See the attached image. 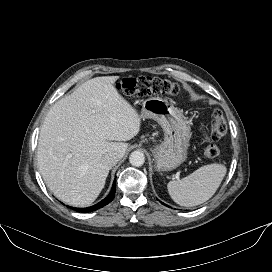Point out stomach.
I'll list each match as a JSON object with an SVG mask.
<instances>
[{
    "label": "stomach",
    "mask_w": 272,
    "mask_h": 272,
    "mask_svg": "<svg viewBox=\"0 0 272 272\" xmlns=\"http://www.w3.org/2000/svg\"><path fill=\"white\" fill-rule=\"evenodd\" d=\"M140 119H154L164 131V140L152 150L155 168L171 171L187 159L190 130L182 113L167 100L152 97L142 104Z\"/></svg>",
    "instance_id": "0dacf381"
}]
</instances>
